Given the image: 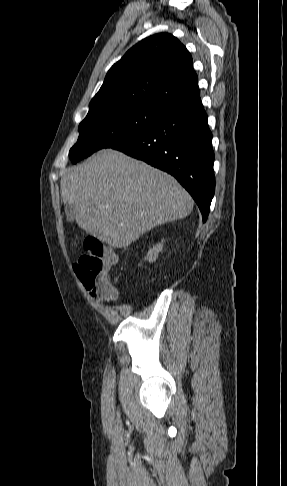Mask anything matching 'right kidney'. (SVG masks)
I'll return each instance as SVG.
<instances>
[{
	"mask_svg": "<svg viewBox=\"0 0 287 486\" xmlns=\"http://www.w3.org/2000/svg\"><path fill=\"white\" fill-rule=\"evenodd\" d=\"M163 243L164 240L154 245L152 249H149L145 259L149 262H154L157 259L159 252H161L163 249Z\"/></svg>",
	"mask_w": 287,
	"mask_h": 486,
	"instance_id": "1",
	"label": "right kidney"
}]
</instances>
